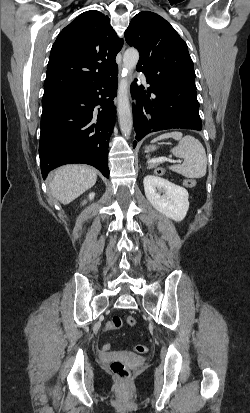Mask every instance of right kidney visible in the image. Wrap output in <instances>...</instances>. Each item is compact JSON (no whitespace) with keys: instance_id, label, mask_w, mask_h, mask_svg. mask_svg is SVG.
<instances>
[{"instance_id":"1","label":"right kidney","mask_w":250,"mask_h":413,"mask_svg":"<svg viewBox=\"0 0 250 413\" xmlns=\"http://www.w3.org/2000/svg\"><path fill=\"white\" fill-rule=\"evenodd\" d=\"M94 196H95L94 193H90V194H89V199L92 200V199L94 198ZM83 204H85V202H84Z\"/></svg>"}]
</instances>
